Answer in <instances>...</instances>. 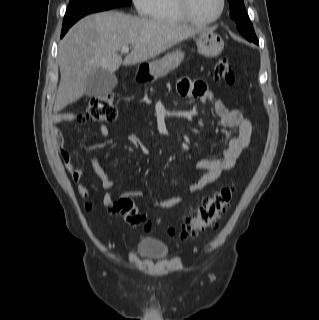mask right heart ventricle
<instances>
[{
    "mask_svg": "<svg viewBox=\"0 0 319 320\" xmlns=\"http://www.w3.org/2000/svg\"><path fill=\"white\" fill-rule=\"evenodd\" d=\"M150 16L160 23L183 24L187 22L180 13L176 0H155Z\"/></svg>",
    "mask_w": 319,
    "mask_h": 320,
    "instance_id": "e07e8e85",
    "label": "right heart ventricle"
}]
</instances>
